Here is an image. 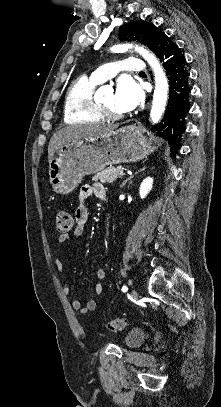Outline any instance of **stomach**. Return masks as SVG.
<instances>
[{"mask_svg":"<svg viewBox=\"0 0 221 407\" xmlns=\"http://www.w3.org/2000/svg\"><path fill=\"white\" fill-rule=\"evenodd\" d=\"M143 129L135 125L99 135L93 139L69 142L58 148L49 162V177L53 191L69 194L90 175L118 163L137 162L154 150Z\"/></svg>","mask_w":221,"mask_h":407,"instance_id":"obj_1","label":"stomach"}]
</instances>
